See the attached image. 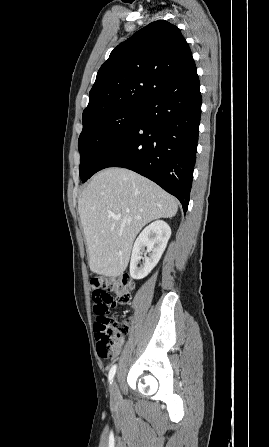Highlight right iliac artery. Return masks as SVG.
I'll use <instances>...</instances> for the list:
<instances>
[{"instance_id":"obj_1","label":"right iliac artery","mask_w":269,"mask_h":447,"mask_svg":"<svg viewBox=\"0 0 269 447\" xmlns=\"http://www.w3.org/2000/svg\"><path fill=\"white\" fill-rule=\"evenodd\" d=\"M115 372H116V365H114L109 372L108 379H109L110 384L112 383Z\"/></svg>"}]
</instances>
